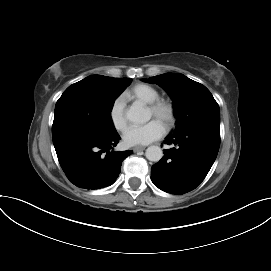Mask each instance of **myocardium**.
I'll use <instances>...</instances> for the list:
<instances>
[{
	"label": "myocardium",
	"mask_w": 271,
	"mask_h": 271,
	"mask_svg": "<svg viewBox=\"0 0 271 271\" xmlns=\"http://www.w3.org/2000/svg\"><path fill=\"white\" fill-rule=\"evenodd\" d=\"M148 109L152 112L153 117L159 119L166 127H171L174 124L175 108L170 101L158 98L148 104Z\"/></svg>",
	"instance_id": "1"
}]
</instances>
